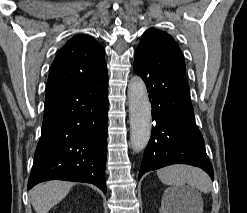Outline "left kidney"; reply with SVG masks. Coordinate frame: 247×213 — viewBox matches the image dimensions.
Returning <instances> with one entry per match:
<instances>
[{"instance_id":"left-kidney-1","label":"left kidney","mask_w":247,"mask_h":213,"mask_svg":"<svg viewBox=\"0 0 247 213\" xmlns=\"http://www.w3.org/2000/svg\"><path fill=\"white\" fill-rule=\"evenodd\" d=\"M181 194L177 190H167L161 201L160 213H194L192 211L191 200L185 196L183 203L180 201ZM192 211V212H191Z\"/></svg>"}]
</instances>
